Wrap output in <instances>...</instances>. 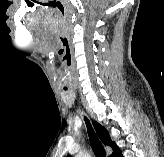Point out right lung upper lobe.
Returning <instances> with one entry per match:
<instances>
[{
  "label": "right lung upper lobe",
  "mask_w": 164,
  "mask_h": 157,
  "mask_svg": "<svg viewBox=\"0 0 164 157\" xmlns=\"http://www.w3.org/2000/svg\"><path fill=\"white\" fill-rule=\"evenodd\" d=\"M93 125L97 131L98 136L100 137L101 141L105 144L110 146L113 150L117 147L116 143L113 142L109 136L108 131L101 126L99 123L97 122H93ZM67 157H71V156H67Z\"/></svg>",
  "instance_id": "1"
}]
</instances>
